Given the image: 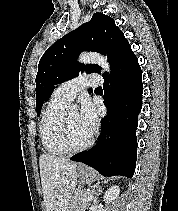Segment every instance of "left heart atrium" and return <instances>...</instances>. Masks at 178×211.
Wrapping results in <instances>:
<instances>
[{"mask_svg":"<svg viewBox=\"0 0 178 211\" xmlns=\"http://www.w3.org/2000/svg\"><path fill=\"white\" fill-rule=\"evenodd\" d=\"M79 119L81 124L87 128L90 132H93L96 123H97V116L94 106L91 104L90 101L85 100L82 103L80 112H79Z\"/></svg>","mask_w":178,"mask_h":211,"instance_id":"39dd6f15","label":"left heart atrium"}]
</instances>
